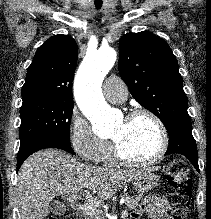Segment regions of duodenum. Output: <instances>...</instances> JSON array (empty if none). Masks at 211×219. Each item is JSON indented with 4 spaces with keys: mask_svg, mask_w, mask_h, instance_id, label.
Returning <instances> with one entry per match:
<instances>
[{
    "mask_svg": "<svg viewBox=\"0 0 211 219\" xmlns=\"http://www.w3.org/2000/svg\"><path fill=\"white\" fill-rule=\"evenodd\" d=\"M75 217V219H85L82 215L80 214H74L73 215Z\"/></svg>",
    "mask_w": 211,
    "mask_h": 219,
    "instance_id": "obj_1",
    "label": "duodenum"
}]
</instances>
